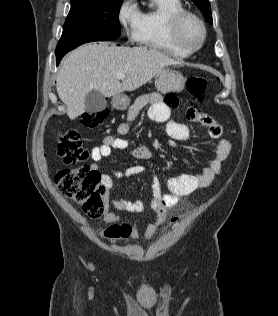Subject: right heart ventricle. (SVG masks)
<instances>
[{"instance_id":"right-heart-ventricle-1","label":"right heart ventricle","mask_w":278,"mask_h":316,"mask_svg":"<svg viewBox=\"0 0 278 316\" xmlns=\"http://www.w3.org/2000/svg\"><path fill=\"white\" fill-rule=\"evenodd\" d=\"M150 1V9L141 12L136 41L142 46L163 51L173 57H188L191 51L176 40L171 27L173 16L185 10L182 0Z\"/></svg>"}]
</instances>
